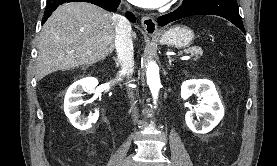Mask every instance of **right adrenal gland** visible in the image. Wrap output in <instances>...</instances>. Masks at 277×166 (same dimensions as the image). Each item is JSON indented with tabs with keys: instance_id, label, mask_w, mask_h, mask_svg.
<instances>
[{
	"instance_id": "2a0ac1e0",
	"label": "right adrenal gland",
	"mask_w": 277,
	"mask_h": 166,
	"mask_svg": "<svg viewBox=\"0 0 277 166\" xmlns=\"http://www.w3.org/2000/svg\"><path fill=\"white\" fill-rule=\"evenodd\" d=\"M114 60H115V62H116V65L118 66V65H119V63H118L117 58H115V57H114Z\"/></svg>"
}]
</instances>
